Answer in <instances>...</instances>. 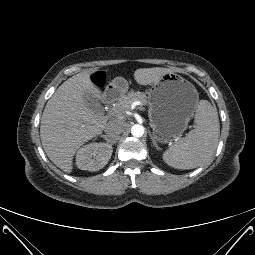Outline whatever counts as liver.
Masks as SVG:
<instances>
[{
	"instance_id": "1",
	"label": "liver",
	"mask_w": 255,
	"mask_h": 255,
	"mask_svg": "<svg viewBox=\"0 0 255 255\" xmlns=\"http://www.w3.org/2000/svg\"><path fill=\"white\" fill-rule=\"evenodd\" d=\"M169 68H141L134 72L140 85H149ZM94 71H84L67 79L48 100L41 117L40 137L49 159L61 170L71 173L76 151L92 138L100 135L108 119L84 104L83 96L90 93L98 100L103 96L91 81Z\"/></svg>"
}]
</instances>
